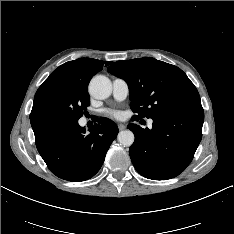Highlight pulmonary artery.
<instances>
[{"instance_id": "pulmonary-artery-1", "label": "pulmonary artery", "mask_w": 234, "mask_h": 234, "mask_svg": "<svg viewBox=\"0 0 234 234\" xmlns=\"http://www.w3.org/2000/svg\"><path fill=\"white\" fill-rule=\"evenodd\" d=\"M129 94V86L127 82L122 78L113 79V96L116 100L122 101L126 99ZM149 125H152V120L149 121Z\"/></svg>"}]
</instances>
